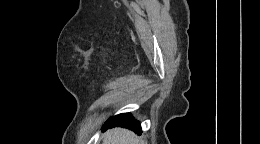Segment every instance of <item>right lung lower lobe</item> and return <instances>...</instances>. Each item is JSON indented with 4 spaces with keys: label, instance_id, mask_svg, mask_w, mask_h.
<instances>
[{
    "label": "right lung lower lobe",
    "instance_id": "right-lung-lower-lobe-1",
    "mask_svg": "<svg viewBox=\"0 0 260 144\" xmlns=\"http://www.w3.org/2000/svg\"><path fill=\"white\" fill-rule=\"evenodd\" d=\"M113 127H125L132 129L135 133L141 134L140 123L132 118L130 113H122L108 119L102 129L105 131Z\"/></svg>",
    "mask_w": 260,
    "mask_h": 144
}]
</instances>
